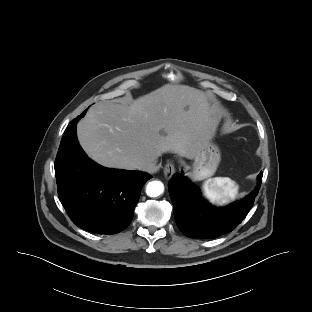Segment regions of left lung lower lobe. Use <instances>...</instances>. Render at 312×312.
<instances>
[{
    "instance_id": "left-lung-lower-lobe-1",
    "label": "left lung lower lobe",
    "mask_w": 312,
    "mask_h": 312,
    "mask_svg": "<svg viewBox=\"0 0 312 312\" xmlns=\"http://www.w3.org/2000/svg\"><path fill=\"white\" fill-rule=\"evenodd\" d=\"M227 207L217 208L202 198L199 188L183 174H174L169 182V193L174 206V217L179 230L189 238H216L231 232L250 211L261 186Z\"/></svg>"
}]
</instances>
